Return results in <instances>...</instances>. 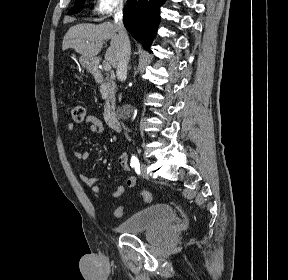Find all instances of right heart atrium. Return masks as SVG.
Returning a JSON list of instances; mask_svg holds the SVG:
<instances>
[{
	"label": "right heart atrium",
	"instance_id": "right-heart-atrium-1",
	"mask_svg": "<svg viewBox=\"0 0 288 280\" xmlns=\"http://www.w3.org/2000/svg\"><path fill=\"white\" fill-rule=\"evenodd\" d=\"M123 7V0H95L93 7L94 16L103 20L119 11Z\"/></svg>",
	"mask_w": 288,
	"mask_h": 280
}]
</instances>
